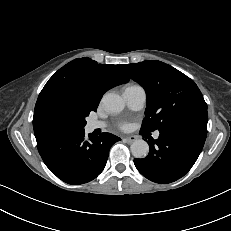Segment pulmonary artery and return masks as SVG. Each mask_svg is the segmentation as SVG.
<instances>
[{"mask_svg":"<svg viewBox=\"0 0 231 231\" xmlns=\"http://www.w3.org/2000/svg\"><path fill=\"white\" fill-rule=\"evenodd\" d=\"M124 98L128 107L132 110H140L143 108L146 101L145 90L138 85L129 86L124 90ZM105 124L101 121L91 120L87 123V130L93 131L95 129L103 128ZM159 137V132L155 133V138Z\"/></svg>","mask_w":231,"mask_h":231,"instance_id":"1","label":"pulmonary artery"}]
</instances>
